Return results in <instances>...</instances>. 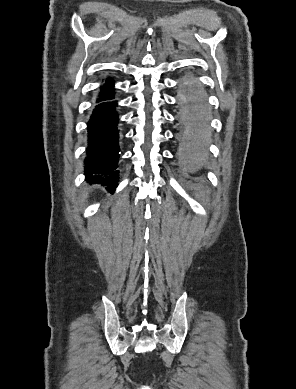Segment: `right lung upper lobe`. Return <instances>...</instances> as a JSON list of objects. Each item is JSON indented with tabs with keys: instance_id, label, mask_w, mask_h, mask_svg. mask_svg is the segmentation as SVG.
<instances>
[{
	"instance_id": "1",
	"label": "right lung upper lobe",
	"mask_w": 296,
	"mask_h": 389,
	"mask_svg": "<svg viewBox=\"0 0 296 389\" xmlns=\"http://www.w3.org/2000/svg\"><path fill=\"white\" fill-rule=\"evenodd\" d=\"M113 83L114 82L112 80L108 81V79H106L105 84L101 87L100 96H104V95L112 92L113 91Z\"/></svg>"
}]
</instances>
